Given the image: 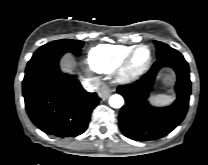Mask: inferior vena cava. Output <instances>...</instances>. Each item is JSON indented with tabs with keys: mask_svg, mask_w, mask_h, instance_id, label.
Listing matches in <instances>:
<instances>
[{
	"mask_svg": "<svg viewBox=\"0 0 208 165\" xmlns=\"http://www.w3.org/2000/svg\"><path fill=\"white\" fill-rule=\"evenodd\" d=\"M83 87L88 92H93L94 90H97L100 85V80L96 77L84 79L83 81Z\"/></svg>",
	"mask_w": 208,
	"mask_h": 165,
	"instance_id": "1",
	"label": "inferior vena cava"
}]
</instances>
